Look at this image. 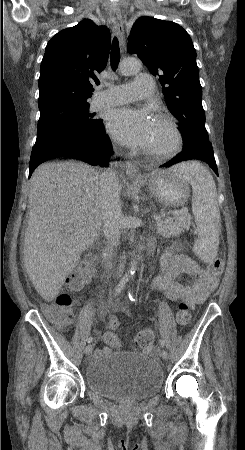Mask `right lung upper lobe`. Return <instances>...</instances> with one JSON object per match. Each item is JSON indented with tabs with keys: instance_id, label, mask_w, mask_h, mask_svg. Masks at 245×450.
I'll return each instance as SVG.
<instances>
[{
	"instance_id": "cb5924a9",
	"label": "right lung upper lobe",
	"mask_w": 245,
	"mask_h": 450,
	"mask_svg": "<svg viewBox=\"0 0 245 450\" xmlns=\"http://www.w3.org/2000/svg\"><path fill=\"white\" fill-rule=\"evenodd\" d=\"M110 32L85 19L57 33L47 44L39 78V109L89 104L93 84L107 64Z\"/></svg>"
}]
</instances>
